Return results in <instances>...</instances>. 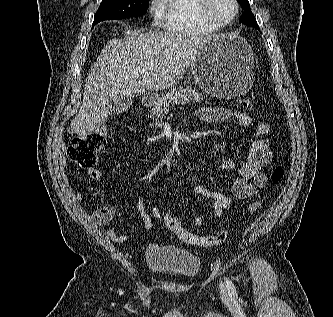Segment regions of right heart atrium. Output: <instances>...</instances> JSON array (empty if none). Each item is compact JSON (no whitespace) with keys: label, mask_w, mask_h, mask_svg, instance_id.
<instances>
[{"label":"right heart atrium","mask_w":333,"mask_h":317,"mask_svg":"<svg viewBox=\"0 0 333 317\" xmlns=\"http://www.w3.org/2000/svg\"><path fill=\"white\" fill-rule=\"evenodd\" d=\"M149 14L155 24H160L162 21L160 15V0H151L149 5Z\"/></svg>","instance_id":"d8ad5b80"}]
</instances>
